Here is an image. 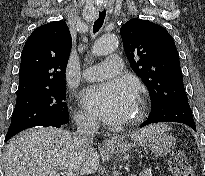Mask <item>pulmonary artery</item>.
Masks as SVG:
<instances>
[{"mask_svg":"<svg viewBox=\"0 0 205 176\" xmlns=\"http://www.w3.org/2000/svg\"><path fill=\"white\" fill-rule=\"evenodd\" d=\"M122 72V62L119 56H110L103 64L87 67L82 71L86 81L102 80Z\"/></svg>","mask_w":205,"mask_h":176,"instance_id":"pulmonary-artery-1","label":"pulmonary artery"}]
</instances>
